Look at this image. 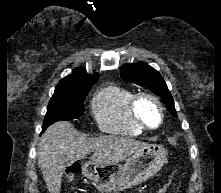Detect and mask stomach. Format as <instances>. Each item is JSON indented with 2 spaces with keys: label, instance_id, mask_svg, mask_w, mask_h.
Here are the masks:
<instances>
[{
  "label": "stomach",
  "instance_id": "stomach-1",
  "mask_svg": "<svg viewBox=\"0 0 221 193\" xmlns=\"http://www.w3.org/2000/svg\"><path fill=\"white\" fill-rule=\"evenodd\" d=\"M167 159L161 145H146L129 157L124 165H98L87 162L82 173L101 193L124 190L138 185L157 174Z\"/></svg>",
  "mask_w": 221,
  "mask_h": 193
}]
</instances>
